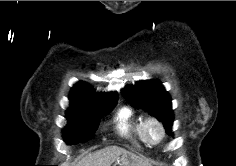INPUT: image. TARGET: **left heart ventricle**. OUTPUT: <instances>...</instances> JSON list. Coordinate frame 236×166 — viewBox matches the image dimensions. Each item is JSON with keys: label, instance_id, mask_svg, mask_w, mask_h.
<instances>
[{"label": "left heart ventricle", "instance_id": "obj_1", "mask_svg": "<svg viewBox=\"0 0 236 166\" xmlns=\"http://www.w3.org/2000/svg\"><path fill=\"white\" fill-rule=\"evenodd\" d=\"M148 133H149L150 138L153 140L157 139V137L159 135V131H158L157 127L154 125L149 126Z\"/></svg>", "mask_w": 236, "mask_h": 166}]
</instances>
